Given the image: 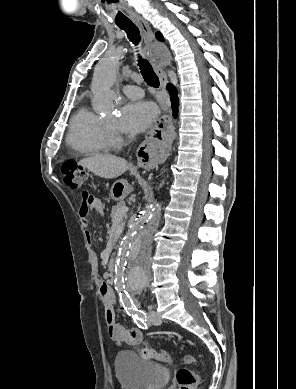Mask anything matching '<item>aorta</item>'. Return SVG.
I'll use <instances>...</instances> for the list:
<instances>
[{"label":"aorta","instance_id":"aorta-1","mask_svg":"<svg viewBox=\"0 0 296 389\" xmlns=\"http://www.w3.org/2000/svg\"><path fill=\"white\" fill-rule=\"evenodd\" d=\"M119 62L115 56L103 58L95 68L92 92L94 102L102 109H114L118 97L113 90ZM161 219V206L149 204L135 219L121 242L115 262V279L119 289L137 293L151 279V247Z\"/></svg>","mask_w":296,"mask_h":389}]
</instances>
